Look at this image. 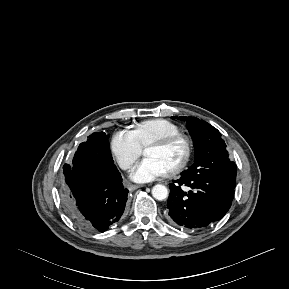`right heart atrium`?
<instances>
[{
  "label": "right heart atrium",
  "mask_w": 289,
  "mask_h": 289,
  "mask_svg": "<svg viewBox=\"0 0 289 289\" xmlns=\"http://www.w3.org/2000/svg\"><path fill=\"white\" fill-rule=\"evenodd\" d=\"M141 146L132 130L116 131L110 141V149L119 166L127 170L141 154Z\"/></svg>",
  "instance_id": "d8ad5b80"
}]
</instances>
